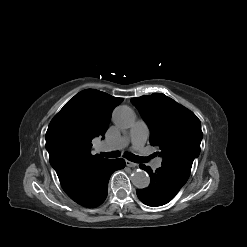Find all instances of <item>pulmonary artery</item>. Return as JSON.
I'll return each instance as SVG.
<instances>
[{"mask_svg":"<svg viewBox=\"0 0 247 247\" xmlns=\"http://www.w3.org/2000/svg\"><path fill=\"white\" fill-rule=\"evenodd\" d=\"M149 136V128L143 120H138L132 126L127 136L121 137L117 142L112 144V147L120 148L131 142L135 149H141ZM153 166L160 168L162 166V158H157Z\"/></svg>","mask_w":247,"mask_h":247,"instance_id":"1","label":"pulmonary artery"}]
</instances>
